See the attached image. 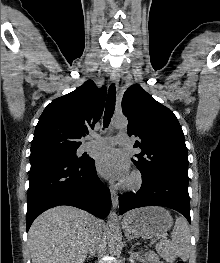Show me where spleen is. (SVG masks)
I'll list each match as a JSON object with an SVG mask.
<instances>
[{
  "label": "spleen",
  "mask_w": 220,
  "mask_h": 263,
  "mask_svg": "<svg viewBox=\"0 0 220 263\" xmlns=\"http://www.w3.org/2000/svg\"><path fill=\"white\" fill-rule=\"evenodd\" d=\"M169 248L174 256H179L183 261L188 260L190 253V230L186 219L183 217H176Z\"/></svg>",
  "instance_id": "1"
}]
</instances>
